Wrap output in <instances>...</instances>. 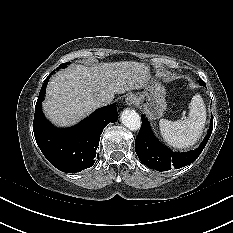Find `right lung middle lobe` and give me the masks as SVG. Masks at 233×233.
Segmentation results:
<instances>
[{
    "mask_svg": "<svg viewBox=\"0 0 233 233\" xmlns=\"http://www.w3.org/2000/svg\"><path fill=\"white\" fill-rule=\"evenodd\" d=\"M70 62H68V63H63V64H61L59 67H57V69L58 68H64V67H66L67 66V64H69Z\"/></svg>",
    "mask_w": 233,
    "mask_h": 233,
    "instance_id": "dd1d6c3e",
    "label": "right lung middle lobe"
}]
</instances>
